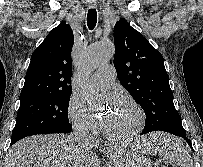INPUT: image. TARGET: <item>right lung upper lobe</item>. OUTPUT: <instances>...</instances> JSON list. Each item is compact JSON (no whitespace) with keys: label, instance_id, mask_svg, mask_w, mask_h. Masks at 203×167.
I'll return each instance as SVG.
<instances>
[{"label":"right lung upper lobe","instance_id":"right-lung-upper-lobe-1","mask_svg":"<svg viewBox=\"0 0 203 167\" xmlns=\"http://www.w3.org/2000/svg\"><path fill=\"white\" fill-rule=\"evenodd\" d=\"M74 35L65 21L52 29L33 52L20 101L36 96L72 92L71 51Z\"/></svg>","mask_w":203,"mask_h":167}]
</instances>
